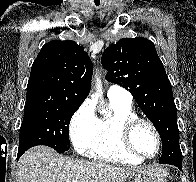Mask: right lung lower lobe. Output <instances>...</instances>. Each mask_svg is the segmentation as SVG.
<instances>
[{
	"instance_id": "98d812e1",
	"label": "right lung lower lobe",
	"mask_w": 196,
	"mask_h": 182,
	"mask_svg": "<svg viewBox=\"0 0 196 182\" xmlns=\"http://www.w3.org/2000/svg\"><path fill=\"white\" fill-rule=\"evenodd\" d=\"M21 155L20 154H18V158L20 157Z\"/></svg>"
}]
</instances>
